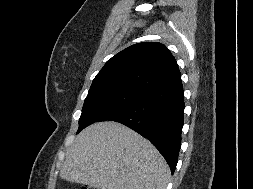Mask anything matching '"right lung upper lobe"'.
Segmentation results:
<instances>
[{
    "label": "right lung upper lobe",
    "mask_w": 253,
    "mask_h": 189,
    "mask_svg": "<svg viewBox=\"0 0 253 189\" xmlns=\"http://www.w3.org/2000/svg\"><path fill=\"white\" fill-rule=\"evenodd\" d=\"M181 80L177 62L161 43L132 45L109 59L94 78L90 90L128 86L146 91Z\"/></svg>",
    "instance_id": "cb5924a9"
}]
</instances>
